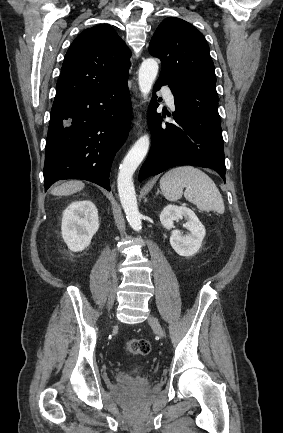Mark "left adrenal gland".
<instances>
[{"instance_id":"left-adrenal-gland-1","label":"left adrenal gland","mask_w":283,"mask_h":433,"mask_svg":"<svg viewBox=\"0 0 283 433\" xmlns=\"http://www.w3.org/2000/svg\"><path fill=\"white\" fill-rule=\"evenodd\" d=\"M160 192H161L160 188H157L156 194H160Z\"/></svg>"}]
</instances>
